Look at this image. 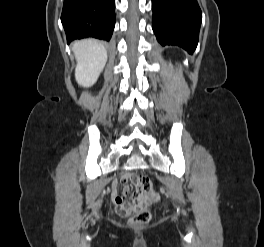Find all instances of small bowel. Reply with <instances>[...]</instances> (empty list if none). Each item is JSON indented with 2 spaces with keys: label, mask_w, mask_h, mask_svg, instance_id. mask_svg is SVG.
Instances as JSON below:
<instances>
[{
  "label": "small bowel",
  "mask_w": 264,
  "mask_h": 247,
  "mask_svg": "<svg viewBox=\"0 0 264 247\" xmlns=\"http://www.w3.org/2000/svg\"><path fill=\"white\" fill-rule=\"evenodd\" d=\"M129 178H130L129 174H124L121 178V181L123 183H126L129 180ZM128 191H129L128 187L125 186L121 192H118V184L113 183V185H112V198H113V201L116 204V206H117V203L119 201L126 199Z\"/></svg>",
  "instance_id": "obj_1"
}]
</instances>
